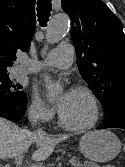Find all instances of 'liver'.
<instances>
[{"mask_svg":"<svg viewBox=\"0 0 125 167\" xmlns=\"http://www.w3.org/2000/svg\"><path fill=\"white\" fill-rule=\"evenodd\" d=\"M68 138L67 135L54 138L45 133L20 129L16 124L0 117V159L22 155L36 143L38 149L33 152L32 159L37 162L44 161L52 154L58 143Z\"/></svg>","mask_w":125,"mask_h":167,"instance_id":"6515ba94","label":"liver"}]
</instances>
